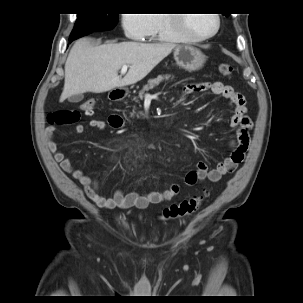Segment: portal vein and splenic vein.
<instances>
[{
  "mask_svg": "<svg viewBox=\"0 0 303 303\" xmlns=\"http://www.w3.org/2000/svg\"><path fill=\"white\" fill-rule=\"evenodd\" d=\"M127 69H128V65H123L122 66V69H121V74H125L127 72ZM152 96L150 94H146L145 95V99H151Z\"/></svg>",
  "mask_w": 303,
  "mask_h": 303,
  "instance_id": "18ae733b",
  "label": "portal vein and splenic vein"
}]
</instances>
